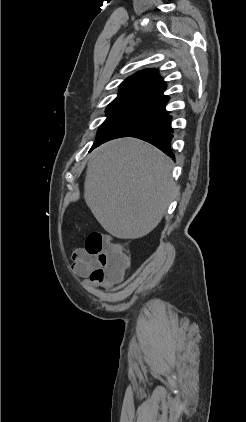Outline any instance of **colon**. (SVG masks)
<instances>
[{"mask_svg": "<svg viewBox=\"0 0 246 422\" xmlns=\"http://www.w3.org/2000/svg\"><path fill=\"white\" fill-rule=\"evenodd\" d=\"M86 251L96 257L97 268L92 275L96 279H114L122 275L127 258L119 245L102 233L92 232L88 235Z\"/></svg>", "mask_w": 246, "mask_h": 422, "instance_id": "5ec220e1", "label": "colon"}]
</instances>
